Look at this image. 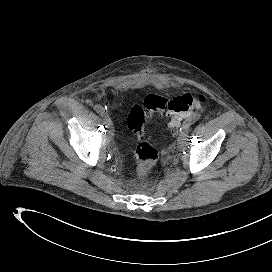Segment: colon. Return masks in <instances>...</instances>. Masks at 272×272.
<instances>
[{
	"label": "colon",
	"mask_w": 272,
	"mask_h": 272,
	"mask_svg": "<svg viewBox=\"0 0 272 272\" xmlns=\"http://www.w3.org/2000/svg\"><path fill=\"white\" fill-rule=\"evenodd\" d=\"M205 104L206 98L203 95L184 92L172 98L150 94L142 103L132 106L127 124L138 139L134 160L140 176H146L159 157V150L150 141L146 131L147 122L151 116L155 113L166 112L170 116L171 127L175 129L183 118L190 117L194 110L202 109Z\"/></svg>",
	"instance_id": "colon-1"
}]
</instances>
